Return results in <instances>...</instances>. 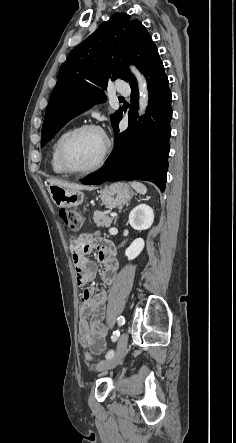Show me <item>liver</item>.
Segmentation results:
<instances>
[{"label": "liver", "mask_w": 236, "mask_h": 443, "mask_svg": "<svg viewBox=\"0 0 236 443\" xmlns=\"http://www.w3.org/2000/svg\"><path fill=\"white\" fill-rule=\"evenodd\" d=\"M48 181H49L50 185H57V186L65 187V188H69V189H75V190H80L82 188L89 189V187H84V186L76 185V184H70V183H67V182H64L61 180H57V179H50Z\"/></svg>", "instance_id": "6515ba94"}]
</instances>
